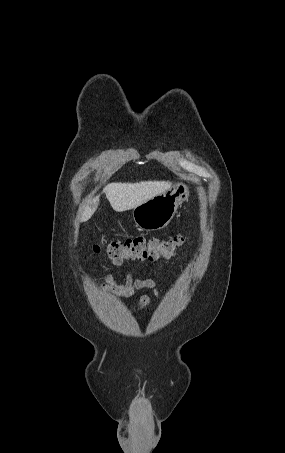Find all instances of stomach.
Segmentation results:
<instances>
[{
	"mask_svg": "<svg viewBox=\"0 0 285 453\" xmlns=\"http://www.w3.org/2000/svg\"><path fill=\"white\" fill-rule=\"evenodd\" d=\"M187 199V187L174 183L163 194L136 206L133 209V220L138 228L155 231L165 228L173 219L178 206Z\"/></svg>",
	"mask_w": 285,
	"mask_h": 453,
	"instance_id": "1",
	"label": "stomach"
}]
</instances>
